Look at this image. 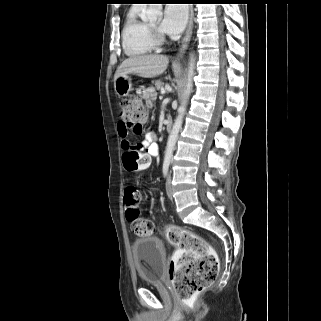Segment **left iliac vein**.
I'll list each match as a JSON object with an SVG mask.
<instances>
[{
	"mask_svg": "<svg viewBox=\"0 0 321 321\" xmlns=\"http://www.w3.org/2000/svg\"><path fill=\"white\" fill-rule=\"evenodd\" d=\"M166 192H167V196L170 199H172L173 190H172V185H171V173L169 174L167 181H166Z\"/></svg>",
	"mask_w": 321,
	"mask_h": 321,
	"instance_id": "1",
	"label": "left iliac vein"
}]
</instances>
